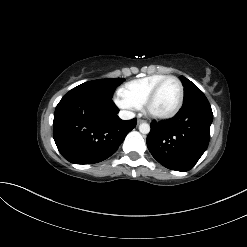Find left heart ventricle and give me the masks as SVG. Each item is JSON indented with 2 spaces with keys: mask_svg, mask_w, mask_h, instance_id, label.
I'll return each mask as SVG.
<instances>
[{
  "mask_svg": "<svg viewBox=\"0 0 247 247\" xmlns=\"http://www.w3.org/2000/svg\"><path fill=\"white\" fill-rule=\"evenodd\" d=\"M179 100V85L175 80L166 81L160 88L150 105V111L155 114H167L177 105Z\"/></svg>",
  "mask_w": 247,
  "mask_h": 247,
  "instance_id": "1",
  "label": "left heart ventricle"
}]
</instances>
